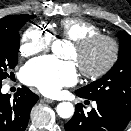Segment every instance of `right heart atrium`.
<instances>
[{"label": "right heart atrium", "instance_id": "d8ad5b80", "mask_svg": "<svg viewBox=\"0 0 131 131\" xmlns=\"http://www.w3.org/2000/svg\"><path fill=\"white\" fill-rule=\"evenodd\" d=\"M54 40V33L41 25H31L23 33L20 40V53L31 56L47 51Z\"/></svg>", "mask_w": 131, "mask_h": 131}]
</instances>
